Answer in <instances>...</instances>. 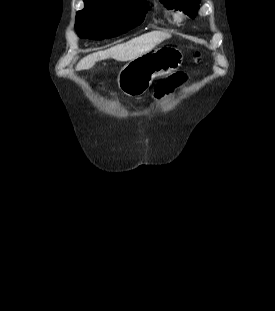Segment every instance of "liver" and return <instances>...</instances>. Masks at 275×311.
I'll return each instance as SVG.
<instances>
[{"mask_svg":"<svg viewBox=\"0 0 275 311\" xmlns=\"http://www.w3.org/2000/svg\"><path fill=\"white\" fill-rule=\"evenodd\" d=\"M170 34L161 31H152L125 43L115 45L109 49L92 53L77 64L76 70L92 68L96 62L108 58L117 61H131L152 50L157 44L170 38Z\"/></svg>","mask_w":275,"mask_h":311,"instance_id":"1","label":"liver"}]
</instances>
